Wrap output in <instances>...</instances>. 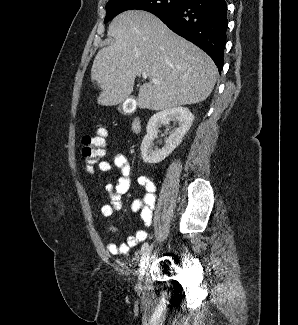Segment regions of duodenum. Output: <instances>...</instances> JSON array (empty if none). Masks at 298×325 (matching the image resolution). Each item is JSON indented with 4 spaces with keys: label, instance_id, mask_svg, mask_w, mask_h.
<instances>
[{
    "label": "duodenum",
    "instance_id": "410a0bca",
    "mask_svg": "<svg viewBox=\"0 0 298 325\" xmlns=\"http://www.w3.org/2000/svg\"><path fill=\"white\" fill-rule=\"evenodd\" d=\"M131 128H132V131L134 133H136V134L140 132V130H141V122H140L139 118H135L133 120Z\"/></svg>",
    "mask_w": 298,
    "mask_h": 325
}]
</instances>
